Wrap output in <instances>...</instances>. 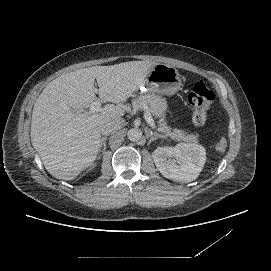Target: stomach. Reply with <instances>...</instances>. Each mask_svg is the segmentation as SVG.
Wrapping results in <instances>:
<instances>
[{
	"label": "stomach",
	"mask_w": 271,
	"mask_h": 271,
	"mask_svg": "<svg viewBox=\"0 0 271 271\" xmlns=\"http://www.w3.org/2000/svg\"><path fill=\"white\" fill-rule=\"evenodd\" d=\"M181 77L178 70L168 64L157 63L139 86L141 93L156 92L174 95L181 87Z\"/></svg>",
	"instance_id": "obj_1"
}]
</instances>
